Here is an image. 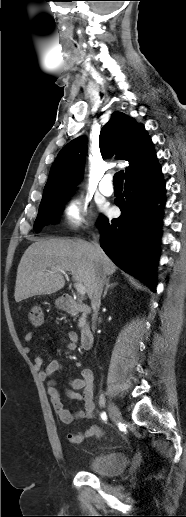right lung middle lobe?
<instances>
[{"label": "right lung middle lobe", "mask_w": 186, "mask_h": 517, "mask_svg": "<svg viewBox=\"0 0 186 517\" xmlns=\"http://www.w3.org/2000/svg\"><path fill=\"white\" fill-rule=\"evenodd\" d=\"M71 193L57 195L48 199H43L39 206L38 216L35 220L33 229L39 232L42 226L55 223L61 212V207Z\"/></svg>", "instance_id": "1"}]
</instances>
